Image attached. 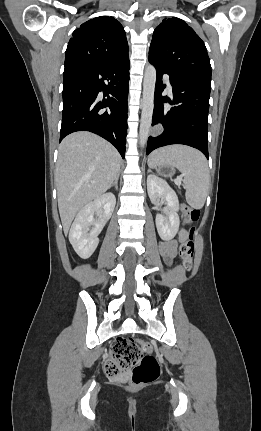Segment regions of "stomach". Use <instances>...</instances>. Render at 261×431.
Returning <instances> with one entry per match:
<instances>
[{
    "mask_svg": "<svg viewBox=\"0 0 261 431\" xmlns=\"http://www.w3.org/2000/svg\"><path fill=\"white\" fill-rule=\"evenodd\" d=\"M155 169L157 170V172L160 175H162L164 177L172 176L174 173V167L172 165H169V164L159 165V166L155 167Z\"/></svg>",
    "mask_w": 261,
    "mask_h": 431,
    "instance_id": "1",
    "label": "stomach"
}]
</instances>
